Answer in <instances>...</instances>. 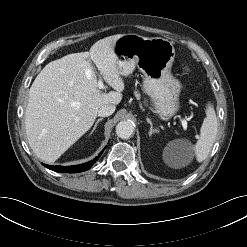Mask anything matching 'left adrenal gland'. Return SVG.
<instances>
[{
  "label": "left adrenal gland",
  "mask_w": 247,
  "mask_h": 247,
  "mask_svg": "<svg viewBox=\"0 0 247 247\" xmlns=\"http://www.w3.org/2000/svg\"><path fill=\"white\" fill-rule=\"evenodd\" d=\"M147 122L150 124L149 136H151L153 133H157V129L153 128L152 122L149 118H147Z\"/></svg>",
  "instance_id": "1"
}]
</instances>
